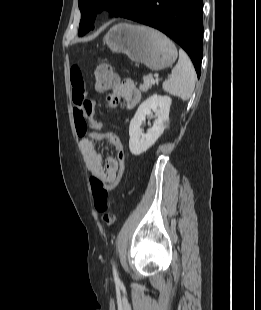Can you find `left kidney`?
<instances>
[{"label":"left kidney","instance_id":"1","mask_svg":"<svg viewBox=\"0 0 261 310\" xmlns=\"http://www.w3.org/2000/svg\"><path fill=\"white\" fill-rule=\"evenodd\" d=\"M169 96L154 94L141 103L129 126V149L135 156L147 151L161 136L169 121V111L171 106ZM155 121L152 128L144 134L141 129L142 123L147 117H153Z\"/></svg>","mask_w":261,"mask_h":310}]
</instances>
